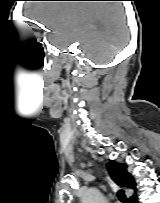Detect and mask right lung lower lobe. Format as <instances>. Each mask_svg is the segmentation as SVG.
I'll use <instances>...</instances> for the list:
<instances>
[{"mask_svg": "<svg viewBox=\"0 0 160 203\" xmlns=\"http://www.w3.org/2000/svg\"><path fill=\"white\" fill-rule=\"evenodd\" d=\"M129 203H137V201H132V202L130 201Z\"/></svg>", "mask_w": 160, "mask_h": 203, "instance_id": "obj_1", "label": "right lung lower lobe"}]
</instances>
